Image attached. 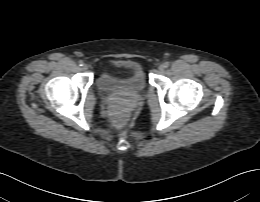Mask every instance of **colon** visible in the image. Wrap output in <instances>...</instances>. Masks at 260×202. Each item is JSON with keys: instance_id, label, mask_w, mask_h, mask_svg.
I'll list each match as a JSON object with an SVG mask.
<instances>
[{"instance_id": "5ec220e1", "label": "colon", "mask_w": 260, "mask_h": 202, "mask_svg": "<svg viewBox=\"0 0 260 202\" xmlns=\"http://www.w3.org/2000/svg\"><path fill=\"white\" fill-rule=\"evenodd\" d=\"M112 120L116 123L123 124L128 117V110L125 107H118L112 111Z\"/></svg>"}]
</instances>
